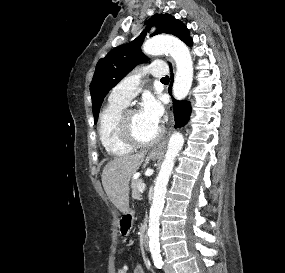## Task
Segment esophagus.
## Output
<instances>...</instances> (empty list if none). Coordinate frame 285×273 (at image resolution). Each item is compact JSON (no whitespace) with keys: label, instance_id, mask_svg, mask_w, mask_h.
I'll list each match as a JSON object with an SVG mask.
<instances>
[{"label":"esophagus","instance_id":"34e87169","mask_svg":"<svg viewBox=\"0 0 285 273\" xmlns=\"http://www.w3.org/2000/svg\"><path fill=\"white\" fill-rule=\"evenodd\" d=\"M165 144H166V140H163L161 143H159L157 146H155L151 152L152 153H157V152L162 151V149L165 146Z\"/></svg>","mask_w":285,"mask_h":273}]
</instances>
